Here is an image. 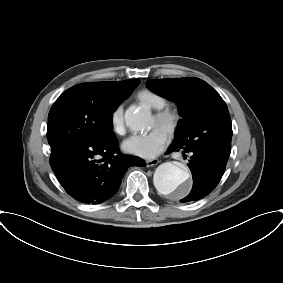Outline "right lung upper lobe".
Here are the masks:
<instances>
[{
	"instance_id": "right-lung-upper-lobe-1",
	"label": "right lung upper lobe",
	"mask_w": 283,
	"mask_h": 283,
	"mask_svg": "<svg viewBox=\"0 0 283 283\" xmlns=\"http://www.w3.org/2000/svg\"><path fill=\"white\" fill-rule=\"evenodd\" d=\"M140 83L137 79L111 82H93L78 84L97 102L105 103L120 96L131 93Z\"/></svg>"
}]
</instances>
